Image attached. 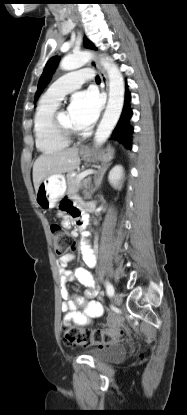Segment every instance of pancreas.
Returning a JSON list of instances; mask_svg holds the SVG:
<instances>
[{
  "label": "pancreas",
  "instance_id": "obj_1",
  "mask_svg": "<svg viewBox=\"0 0 187 415\" xmlns=\"http://www.w3.org/2000/svg\"><path fill=\"white\" fill-rule=\"evenodd\" d=\"M78 175L73 176L72 173L67 174V195L72 196L76 194L82 186H86L89 179H85L82 182L77 180Z\"/></svg>",
  "mask_w": 187,
  "mask_h": 415
}]
</instances>
